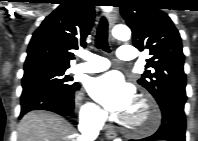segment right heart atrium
<instances>
[{
    "label": "right heart atrium",
    "instance_id": "1",
    "mask_svg": "<svg viewBox=\"0 0 198 141\" xmlns=\"http://www.w3.org/2000/svg\"><path fill=\"white\" fill-rule=\"evenodd\" d=\"M81 117L89 122H98L103 114L94 104L86 103L81 108Z\"/></svg>",
    "mask_w": 198,
    "mask_h": 141
}]
</instances>
